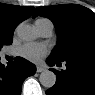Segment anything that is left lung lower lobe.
Here are the masks:
<instances>
[{
    "instance_id": "1",
    "label": "left lung lower lobe",
    "mask_w": 95,
    "mask_h": 95,
    "mask_svg": "<svg viewBox=\"0 0 95 95\" xmlns=\"http://www.w3.org/2000/svg\"><path fill=\"white\" fill-rule=\"evenodd\" d=\"M47 62L55 65L56 59L49 57ZM66 70L50 69L56 74V84L46 91L47 95H95V61H65ZM60 64V63H58Z\"/></svg>"
}]
</instances>
